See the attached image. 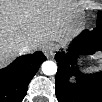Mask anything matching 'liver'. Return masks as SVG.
<instances>
[{"label": "liver", "instance_id": "obj_1", "mask_svg": "<svg viewBox=\"0 0 102 102\" xmlns=\"http://www.w3.org/2000/svg\"><path fill=\"white\" fill-rule=\"evenodd\" d=\"M76 14L58 0H10L0 7V56L10 58L25 45L37 49L60 40Z\"/></svg>", "mask_w": 102, "mask_h": 102}]
</instances>
